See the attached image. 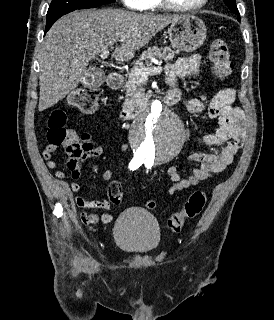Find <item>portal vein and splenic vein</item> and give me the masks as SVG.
<instances>
[{
    "label": "portal vein and splenic vein",
    "mask_w": 274,
    "mask_h": 320,
    "mask_svg": "<svg viewBox=\"0 0 274 320\" xmlns=\"http://www.w3.org/2000/svg\"><path fill=\"white\" fill-rule=\"evenodd\" d=\"M109 54V50H104V52H101V60H105V58H108ZM156 64L157 66H153V68H141V70H135L134 74L136 78H146V76H148L150 72H154V70H162L160 62H156Z\"/></svg>",
    "instance_id": "obj_1"
}]
</instances>
